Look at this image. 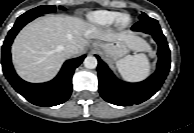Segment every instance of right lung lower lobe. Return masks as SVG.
<instances>
[{
  "mask_svg": "<svg viewBox=\"0 0 194 133\" xmlns=\"http://www.w3.org/2000/svg\"><path fill=\"white\" fill-rule=\"evenodd\" d=\"M33 19L35 18L21 15L9 31L2 46L3 72L13 88L29 102L43 107L59 105L70 97L72 75L82 63L85 55L66 61L58 76L50 82L35 84L19 78L12 66L10 46L19 30Z\"/></svg>",
  "mask_w": 194,
  "mask_h": 133,
  "instance_id": "98d812e1",
  "label": "right lung lower lobe"
}]
</instances>
